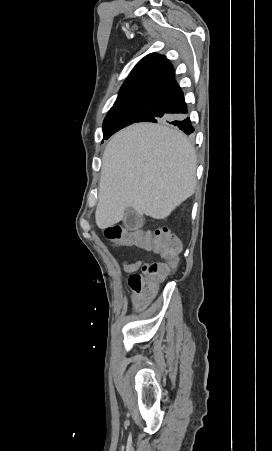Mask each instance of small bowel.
I'll use <instances>...</instances> for the list:
<instances>
[{
  "label": "small bowel",
  "mask_w": 272,
  "mask_h": 451,
  "mask_svg": "<svg viewBox=\"0 0 272 451\" xmlns=\"http://www.w3.org/2000/svg\"><path fill=\"white\" fill-rule=\"evenodd\" d=\"M126 271V273H127V270H125ZM135 301V303H136V305H137V307H139L140 308V302H141V300H134Z\"/></svg>",
  "instance_id": "1"
}]
</instances>
